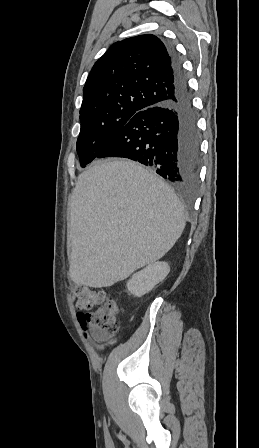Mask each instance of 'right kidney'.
Segmentation results:
<instances>
[{
    "label": "right kidney",
    "mask_w": 259,
    "mask_h": 448,
    "mask_svg": "<svg viewBox=\"0 0 259 448\" xmlns=\"http://www.w3.org/2000/svg\"><path fill=\"white\" fill-rule=\"evenodd\" d=\"M169 272L170 268L166 262H155V264L146 266L141 272L133 274L131 280L127 282V288L130 294L141 298V296L150 292L156 284L162 282Z\"/></svg>",
    "instance_id": "ca27d5eb"
}]
</instances>
